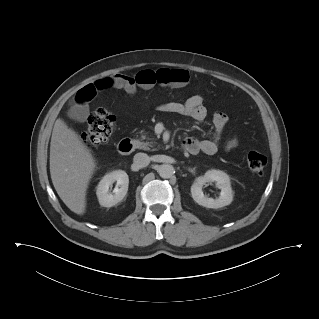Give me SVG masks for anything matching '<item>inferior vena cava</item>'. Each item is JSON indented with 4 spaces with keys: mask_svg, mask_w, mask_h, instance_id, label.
Listing matches in <instances>:
<instances>
[{
    "mask_svg": "<svg viewBox=\"0 0 319 319\" xmlns=\"http://www.w3.org/2000/svg\"><path fill=\"white\" fill-rule=\"evenodd\" d=\"M133 161L136 166L143 168L149 165L150 157L146 153H137Z\"/></svg>",
    "mask_w": 319,
    "mask_h": 319,
    "instance_id": "1",
    "label": "inferior vena cava"
}]
</instances>
